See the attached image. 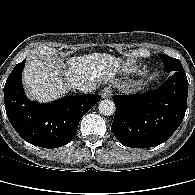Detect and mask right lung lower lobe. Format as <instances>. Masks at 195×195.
<instances>
[{
	"label": "right lung lower lobe",
	"instance_id": "right-lung-lower-lobe-1",
	"mask_svg": "<svg viewBox=\"0 0 195 195\" xmlns=\"http://www.w3.org/2000/svg\"><path fill=\"white\" fill-rule=\"evenodd\" d=\"M25 60L17 64L4 86L7 117L16 132L27 142L57 148L75 136L79 122L100 99L97 94L63 97L47 104L30 101L21 82Z\"/></svg>",
	"mask_w": 195,
	"mask_h": 195
}]
</instances>
